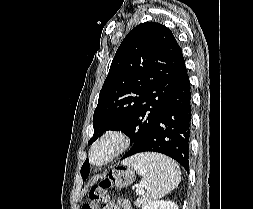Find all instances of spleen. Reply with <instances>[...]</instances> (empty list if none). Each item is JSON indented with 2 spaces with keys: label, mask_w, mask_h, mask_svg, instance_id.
<instances>
[{
  "label": "spleen",
  "mask_w": 253,
  "mask_h": 209,
  "mask_svg": "<svg viewBox=\"0 0 253 209\" xmlns=\"http://www.w3.org/2000/svg\"><path fill=\"white\" fill-rule=\"evenodd\" d=\"M123 164L131 166L142 176V187L147 192L139 198L136 206L164 197L181 181L179 166L167 156L158 153H141L126 159Z\"/></svg>",
  "instance_id": "3e777b00"
}]
</instances>
